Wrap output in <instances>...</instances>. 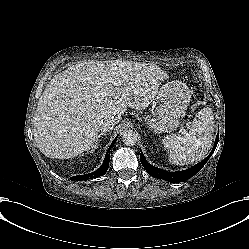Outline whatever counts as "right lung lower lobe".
Masks as SVG:
<instances>
[{
    "mask_svg": "<svg viewBox=\"0 0 249 249\" xmlns=\"http://www.w3.org/2000/svg\"><path fill=\"white\" fill-rule=\"evenodd\" d=\"M116 140H117V137L111 143L109 150L107 151V153L105 155V159L103 161V164L100 166V168L97 169L96 171H94L93 173L79 175L76 177V180H87V179H93V178H97V177L102 176L108 170L109 160H110V148H112V146L115 144Z\"/></svg>",
    "mask_w": 249,
    "mask_h": 249,
    "instance_id": "1",
    "label": "right lung lower lobe"
}]
</instances>
